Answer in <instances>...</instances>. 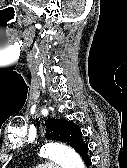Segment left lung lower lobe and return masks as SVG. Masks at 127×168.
I'll use <instances>...</instances> for the list:
<instances>
[{
	"label": "left lung lower lobe",
	"instance_id": "0a47b994",
	"mask_svg": "<svg viewBox=\"0 0 127 168\" xmlns=\"http://www.w3.org/2000/svg\"><path fill=\"white\" fill-rule=\"evenodd\" d=\"M77 152L81 155L84 163L86 164V166H90L91 165V160L88 157V146L83 143L77 150Z\"/></svg>",
	"mask_w": 127,
	"mask_h": 168
}]
</instances>
